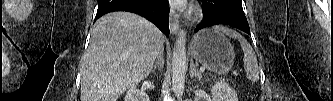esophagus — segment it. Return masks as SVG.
<instances>
[{
	"label": "esophagus",
	"mask_w": 333,
	"mask_h": 101,
	"mask_svg": "<svg viewBox=\"0 0 333 101\" xmlns=\"http://www.w3.org/2000/svg\"><path fill=\"white\" fill-rule=\"evenodd\" d=\"M170 31L172 34H177L179 31V15L173 8L170 9Z\"/></svg>",
	"instance_id": "1"
}]
</instances>
